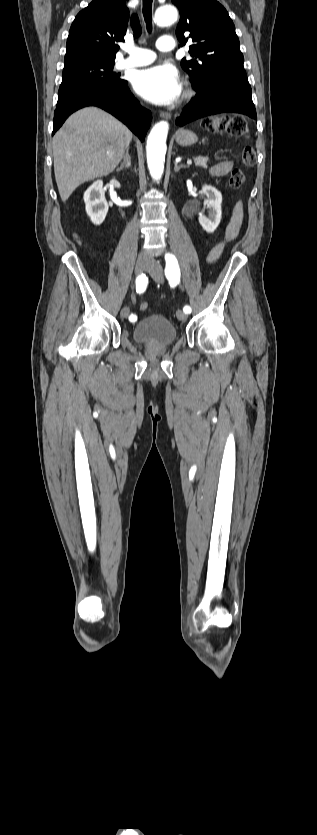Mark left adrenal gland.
<instances>
[{"mask_svg":"<svg viewBox=\"0 0 317 835\" xmlns=\"http://www.w3.org/2000/svg\"><path fill=\"white\" fill-rule=\"evenodd\" d=\"M184 164L179 165L177 162H174V171L178 172L181 168H185Z\"/></svg>","mask_w":317,"mask_h":835,"instance_id":"1","label":"left adrenal gland"}]
</instances>
